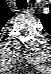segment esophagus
<instances>
[{
    "mask_svg": "<svg viewBox=\"0 0 51 74\" xmlns=\"http://www.w3.org/2000/svg\"><path fill=\"white\" fill-rule=\"evenodd\" d=\"M23 12L28 13V12H30V10L29 9H25V10H23Z\"/></svg>",
    "mask_w": 51,
    "mask_h": 74,
    "instance_id": "1",
    "label": "esophagus"
}]
</instances>
